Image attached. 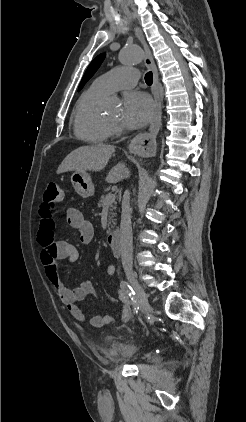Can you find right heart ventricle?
<instances>
[{"label": "right heart ventricle", "instance_id": "obj_1", "mask_svg": "<svg viewBox=\"0 0 246 422\" xmlns=\"http://www.w3.org/2000/svg\"><path fill=\"white\" fill-rule=\"evenodd\" d=\"M106 95L92 85L78 99L73 114V129L78 138L90 143H101L110 137L111 124L99 110Z\"/></svg>", "mask_w": 246, "mask_h": 422}]
</instances>
